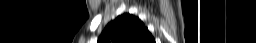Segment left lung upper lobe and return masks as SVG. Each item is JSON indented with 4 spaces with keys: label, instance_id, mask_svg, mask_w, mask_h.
I'll list each match as a JSON object with an SVG mask.
<instances>
[{
    "label": "left lung upper lobe",
    "instance_id": "left-lung-upper-lobe-1",
    "mask_svg": "<svg viewBox=\"0 0 256 43\" xmlns=\"http://www.w3.org/2000/svg\"><path fill=\"white\" fill-rule=\"evenodd\" d=\"M97 43H155V40L138 17L125 13L106 26Z\"/></svg>",
    "mask_w": 256,
    "mask_h": 43
}]
</instances>
